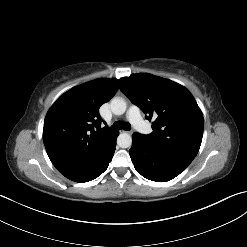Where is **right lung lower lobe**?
I'll list each match as a JSON object with an SVG mask.
<instances>
[{"instance_id": "right-lung-lower-lobe-1", "label": "right lung lower lobe", "mask_w": 247, "mask_h": 247, "mask_svg": "<svg viewBox=\"0 0 247 247\" xmlns=\"http://www.w3.org/2000/svg\"><path fill=\"white\" fill-rule=\"evenodd\" d=\"M118 134V132L115 133L109 144L89 164L79 169L62 174L72 181L81 183L88 182L97 178L107 169L110 161L112 160Z\"/></svg>"}]
</instances>
